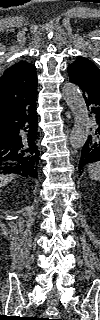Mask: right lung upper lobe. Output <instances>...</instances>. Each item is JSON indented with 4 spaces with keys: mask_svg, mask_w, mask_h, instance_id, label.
<instances>
[{
    "mask_svg": "<svg viewBox=\"0 0 100 320\" xmlns=\"http://www.w3.org/2000/svg\"><path fill=\"white\" fill-rule=\"evenodd\" d=\"M37 88L36 68L20 61L9 67L0 78V104L25 98Z\"/></svg>",
    "mask_w": 100,
    "mask_h": 320,
    "instance_id": "cb5924a9",
    "label": "right lung upper lobe"
}]
</instances>
